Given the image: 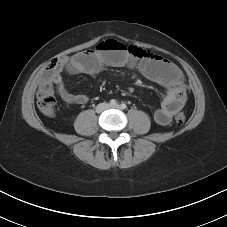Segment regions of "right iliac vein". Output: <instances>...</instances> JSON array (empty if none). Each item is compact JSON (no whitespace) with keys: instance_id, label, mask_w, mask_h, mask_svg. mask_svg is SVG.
<instances>
[{"instance_id":"obj_1","label":"right iliac vein","mask_w":227,"mask_h":227,"mask_svg":"<svg viewBox=\"0 0 227 227\" xmlns=\"http://www.w3.org/2000/svg\"><path fill=\"white\" fill-rule=\"evenodd\" d=\"M107 108V105L106 104H101L99 107H98V110H104Z\"/></svg>"}]
</instances>
